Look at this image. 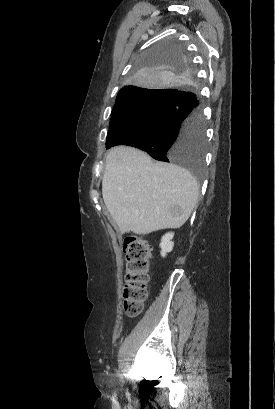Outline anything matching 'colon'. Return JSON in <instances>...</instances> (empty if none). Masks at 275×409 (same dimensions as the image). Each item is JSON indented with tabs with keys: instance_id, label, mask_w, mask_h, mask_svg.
<instances>
[{
	"instance_id": "5ec220e1",
	"label": "colon",
	"mask_w": 275,
	"mask_h": 409,
	"mask_svg": "<svg viewBox=\"0 0 275 409\" xmlns=\"http://www.w3.org/2000/svg\"><path fill=\"white\" fill-rule=\"evenodd\" d=\"M127 272L123 284L122 308L128 317L139 316L148 296L151 247L147 240L128 235L123 240Z\"/></svg>"
}]
</instances>
